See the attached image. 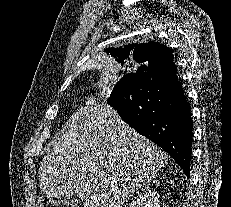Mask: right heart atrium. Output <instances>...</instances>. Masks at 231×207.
<instances>
[{
    "label": "right heart atrium",
    "mask_w": 231,
    "mask_h": 207,
    "mask_svg": "<svg viewBox=\"0 0 231 207\" xmlns=\"http://www.w3.org/2000/svg\"><path fill=\"white\" fill-rule=\"evenodd\" d=\"M83 102L85 105L87 106H92L95 104V98L94 96L92 95H89V96H86L84 99H83Z\"/></svg>",
    "instance_id": "obj_1"
}]
</instances>
